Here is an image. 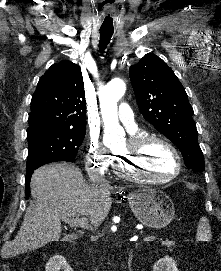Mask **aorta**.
<instances>
[{"instance_id": "1", "label": "aorta", "mask_w": 221, "mask_h": 271, "mask_svg": "<svg viewBox=\"0 0 221 271\" xmlns=\"http://www.w3.org/2000/svg\"><path fill=\"white\" fill-rule=\"evenodd\" d=\"M126 91V85L121 79L110 81L100 93V108L105 129L110 133H121L123 129L118 121L117 102Z\"/></svg>"}]
</instances>
